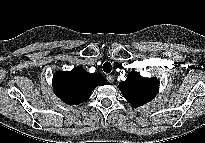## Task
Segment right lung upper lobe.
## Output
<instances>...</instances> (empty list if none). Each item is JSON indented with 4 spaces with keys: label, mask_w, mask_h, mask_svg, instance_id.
Returning <instances> with one entry per match:
<instances>
[{
    "label": "right lung upper lobe",
    "mask_w": 205,
    "mask_h": 143,
    "mask_svg": "<svg viewBox=\"0 0 205 143\" xmlns=\"http://www.w3.org/2000/svg\"><path fill=\"white\" fill-rule=\"evenodd\" d=\"M106 79L99 73H88L82 66L71 71L56 72L53 76V91L66 104L85 102L92 90L105 85Z\"/></svg>",
    "instance_id": "1"
}]
</instances>
